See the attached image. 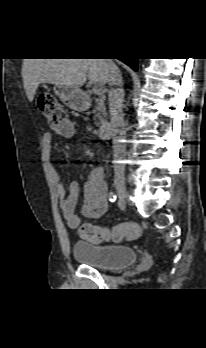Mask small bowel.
<instances>
[{"label": "small bowel", "mask_w": 206, "mask_h": 348, "mask_svg": "<svg viewBox=\"0 0 206 348\" xmlns=\"http://www.w3.org/2000/svg\"><path fill=\"white\" fill-rule=\"evenodd\" d=\"M42 144L46 156L50 158L52 135L49 132L43 134ZM48 167L60 199V208L68 227L72 229L79 228L82 224L81 216L76 213L80 194L79 185L76 182H71L66 187L60 173L51 162H49ZM108 208L107 185L104 180L103 171L100 167H96L89 173L84 184L81 214L88 219H99L106 213Z\"/></svg>", "instance_id": "1"}]
</instances>
